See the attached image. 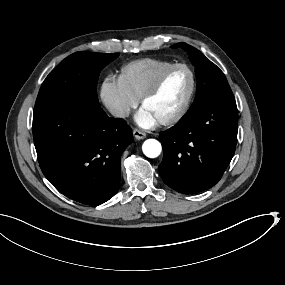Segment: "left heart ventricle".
I'll list each match as a JSON object with an SVG mask.
<instances>
[{
    "instance_id": "obj_1",
    "label": "left heart ventricle",
    "mask_w": 285,
    "mask_h": 285,
    "mask_svg": "<svg viewBox=\"0 0 285 285\" xmlns=\"http://www.w3.org/2000/svg\"><path fill=\"white\" fill-rule=\"evenodd\" d=\"M189 87L190 84L186 74H174L161 90L148 99L143 106L161 120L174 114L182 107Z\"/></svg>"
}]
</instances>
